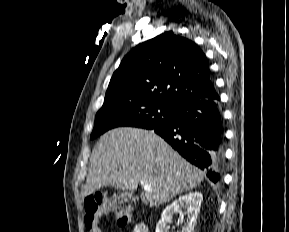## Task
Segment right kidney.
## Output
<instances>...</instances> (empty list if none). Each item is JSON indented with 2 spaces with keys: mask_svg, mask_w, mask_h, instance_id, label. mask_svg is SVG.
I'll list each match as a JSON object with an SVG mask.
<instances>
[{
  "mask_svg": "<svg viewBox=\"0 0 289 232\" xmlns=\"http://www.w3.org/2000/svg\"><path fill=\"white\" fill-rule=\"evenodd\" d=\"M202 201V194L196 191L180 196L163 210L161 219L156 225L155 232H168V225L171 223L172 216L175 213H179L182 217L183 215H187L181 232H193ZM183 210L185 211L183 212Z\"/></svg>",
  "mask_w": 289,
  "mask_h": 232,
  "instance_id": "ca27d5eb",
  "label": "right kidney"
}]
</instances>
